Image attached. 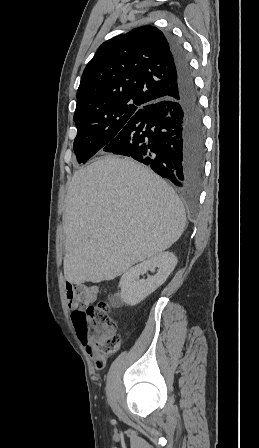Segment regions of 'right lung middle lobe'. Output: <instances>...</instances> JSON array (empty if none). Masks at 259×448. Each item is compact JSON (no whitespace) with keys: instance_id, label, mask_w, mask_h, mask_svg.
<instances>
[{"instance_id":"obj_1","label":"right lung middle lobe","mask_w":259,"mask_h":448,"mask_svg":"<svg viewBox=\"0 0 259 448\" xmlns=\"http://www.w3.org/2000/svg\"><path fill=\"white\" fill-rule=\"evenodd\" d=\"M144 107H130L107 113H86L74 115L77 136L73 149L78 163H86L94 155H101L109 144L135 114Z\"/></svg>"}]
</instances>
